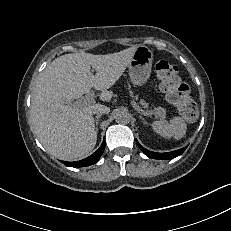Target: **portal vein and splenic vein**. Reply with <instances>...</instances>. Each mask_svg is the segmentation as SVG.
<instances>
[{"mask_svg":"<svg viewBox=\"0 0 231 231\" xmlns=\"http://www.w3.org/2000/svg\"><path fill=\"white\" fill-rule=\"evenodd\" d=\"M93 103H95L94 95L92 93H88L85 95V97L83 99H80L78 101L73 102V105L74 106H83V105H89V104H93ZM131 105L133 106V108L135 110H137L138 112H140L143 115L153 114L152 111H145V110L141 109L140 106L134 101H131Z\"/></svg>","mask_w":231,"mask_h":231,"instance_id":"18ae733b","label":"portal vein and splenic vein"}]
</instances>
